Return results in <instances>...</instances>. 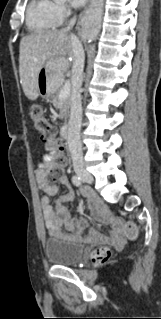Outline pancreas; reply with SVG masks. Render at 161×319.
Returning <instances> with one entry per match:
<instances>
[{"label":"pancreas","mask_w":161,"mask_h":319,"mask_svg":"<svg viewBox=\"0 0 161 319\" xmlns=\"http://www.w3.org/2000/svg\"><path fill=\"white\" fill-rule=\"evenodd\" d=\"M59 93L60 92H56L53 96H52V103L53 105L60 109V118L64 119L65 122L67 121V117H68V110H69V105H70V99L69 97L61 100L59 98Z\"/></svg>","instance_id":"cf45deb5"}]
</instances>
